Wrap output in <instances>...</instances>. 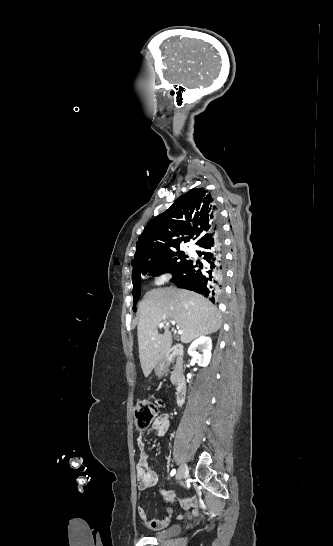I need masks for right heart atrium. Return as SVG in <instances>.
<instances>
[{"mask_svg":"<svg viewBox=\"0 0 333 546\" xmlns=\"http://www.w3.org/2000/svg\"><path fill=\"white\" fill-rule=\"evenodd\" d=\"M171 277V274L167 271H163V272H160L155 280H154V283L155 285H162L164 283H166Z\"/></svg>","mask_w":333,"mask_h":546,"instance_id":"obj_1","label":"right heart atrium"}]
</instances>
